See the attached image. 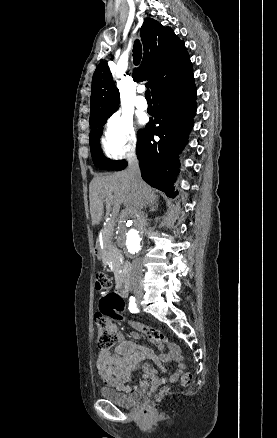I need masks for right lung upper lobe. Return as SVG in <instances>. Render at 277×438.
I'll list each match as a JSON object with an SVG mask.
<instances>
[{
  "instance_id": "right-lung-upper-lobe-1",
  "label": "right lung upper lobe",
  "mask_w": 277,
  "mask_h": 438,
  "mask_svg": "<svg viewBox=\"0 0 277 438\" xmlns=\"http://www.w3.org/2000/svg\"><path fill=\"white\" fill-rule=\"evenodd\" d=\"M144 57L134 69L135 81L150 80L147 86L152 95L165 83L176 79L192 68L184 42L170 27L154 19H146L141 27ZM119 91L112 81L106 62H100L93 79L90 99V123L106 122L119 105Z\"/></svg>"
}]
</instances>
